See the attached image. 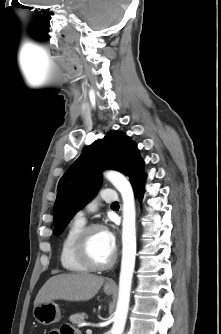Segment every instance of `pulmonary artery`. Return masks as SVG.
<instances>
[{
	"mask_svg": "<svg viewBox=\"0 0 221 334\" xmlns=\"http://www.w3.org/2000/svg\"><path fill=\"white\" fill-rule=\"evenodd\" d=\"M103 200L105 202H112L117 199V196L115 194V191L113 189H104L101 193L100 198H96L92 200L86 207V210H80L76 214V218L85 221L86 219V213L93 212L97 209L99 201Z\"/></svg>",
	"mask_w": 221,
	"mask_h": 334,
	"instance_id": "obj_1",
	"label": "pulmonary artery"
}]
</instances>
